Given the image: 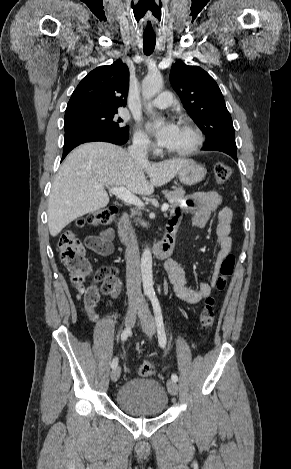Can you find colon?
I'll return each instance as SVG.
<instances>
[{"mask_svg": "<svg viewBox=\"0 0 291 469\" xmlns=\"http://www.w3.org/2000/svg\"><path fill=\"white\" fill-rule=\"evenodd\" d=\"M232 175V168L224 162H218L214 166V178L216 183L222 184L229 180ZM115 214L114 208H105L90 213L78 221V227L85 226H105L111 222ZM59 252L61 262L70 272L71 281L78 290H84V305L87 313L92 319H96L95 308L100 299V291L97 284L102 283L104 293H113L119 286L114 278L117 270L112 266H105L92 275L91 266L85 255V248L75 231H67L59 239ZM235 266V258L232 254L226 256L221 262L219 276L216 281L218 290H223L231 277ZM91 278V284L85 289L84 282ZM215 301L212 297L206 299L202 311L199 315V326L202 329H210L215 323L214 313ZM154 365L148 360H144L139 366V374L142 377H149L154 373Z\"/></svg>", "mask_w": 291, "mask_h": 469, "instance_id": "colon-1", "label": "colon"}]
</instances>
